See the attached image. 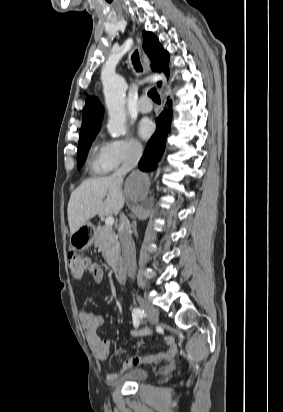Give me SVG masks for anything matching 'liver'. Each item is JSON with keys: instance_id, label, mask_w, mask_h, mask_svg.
I'll return each mask as SVG.
<instances>
[{"instance_id": "liver-1", "label": "liver", "mask_w": 283, "mask_h": 412, "mask_svg": "<svg viewBox=\"0 0 283 412\" xmlns=\"http://www.w3.org/2000/svg\"><path fill=\"white\" fill-rule=\"evenodd\" d=\"M121 186L122 181L113 175L83 181L71 193L68 203L70 233H75L96 215L100 217L117 215L124 204Z\"/></svg>"}]
</instances>
